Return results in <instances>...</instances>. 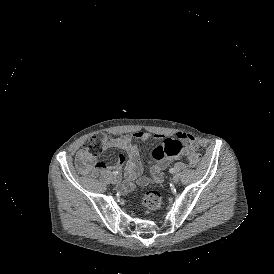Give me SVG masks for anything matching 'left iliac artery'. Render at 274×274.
I'll return each instance as SVG.
<instances>
[{"instance_id":"44dca946","label":"left iliac artery","mask_w":274,"mask_h":274,"mask_svg":"<svg viewBox=\"0 0 274 274\" xmlns=\"http://www.w3.org/2000/svg\"><path fill=\"white\" fill-rule=\"evenodd\" d=\"M169 172H170V173H174V172H175V169H174L173 167H171V168L169 169Z\"/></svg>"}]
</instances>
